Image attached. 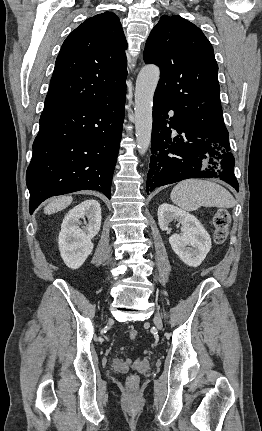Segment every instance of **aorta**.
Instances as JSON below:
<instances>
[{"mask_svg":"<svg viewBox=\"0 0 262 431\" xmlns=\"http://www.w3.org/2000/svg\"><path fill=\"white\" fill-rule=\"evenodd\" d=\"M160 78L156 65L144 66L135 87V130L138 151L144 155L151 143L153 97Z\"/></svg>","mask_w":262,"mask_h":431,"instance_id":"762f6f07","label":"aorta"}]
</instances>
